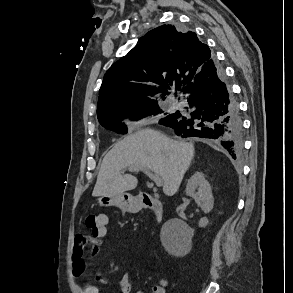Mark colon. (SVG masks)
Masks as SVG:
<instances>
[{"label":"colon","instance_id":"obj_1","mask_svg":"<svg viewBox=\"0 0 293 293\" xmlns=\"http://www.w3.org/2000/svg\"><path fill=\"white\" fill-rule=\"evenodd\" d=\"M107 217L103 214H88L84 219L85 228L93 236H99L103 233L107 225ZM154 293H160L157 287L154 288Z\"/></svg>","mask_w":293,"mask_h":293}]
</instances>
